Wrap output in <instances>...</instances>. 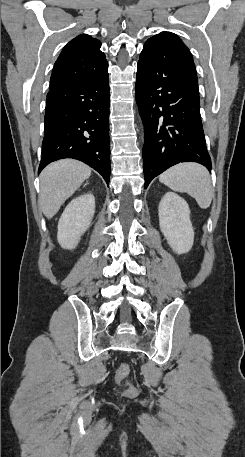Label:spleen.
<instances>
[{"label": "spleen", "mask_w": 245, "mask_h": 457, "mask_svg": "<svg viewBox=\"0 0 245 457\" xmlns=\"http://www.w3.org/2000/svg\"><path fill=\"white\" fill-rule=\"evenodd\" d=\"M160 182L177 192H188L200 208H208L212 202L213 186L209 170L198 162H180L160 174Z\"/></svg>", "instance_id": "3e777b00"}]
</instances>
